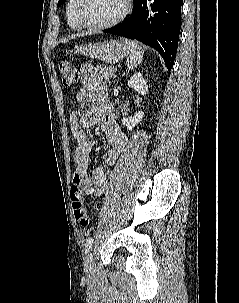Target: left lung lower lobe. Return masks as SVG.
<instances>
[{"mask_svg": "<svg viewBox=\"0 0 239 303\" xmlns=\"http://www.w3.org/2000/svg\"><path fill=\"white\" fill-rule=\"evenodd\" d=\"M183 0H134V10L120 25L104 32L136 39L156 49L172 69L181 28Z\"/></svg>", "mask_w": 239, "mask_h": 303, "instance_id": "1", "label": "left lung lower lobe"}]
</instances>
